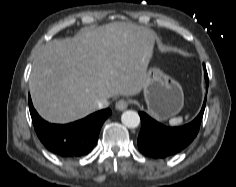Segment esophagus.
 I'll return each mask as SVG.
<instances>
[{
    "label": "esophagus",
    "instance_id": "1",
    "mask_svg": "<svg viewBox=\"0 0 236 187\" xmlns=\"http://www.w3.org/2000/svg\"><path fill=\"white\" fill-rule=\"evenodd\" d=\"M129 105V102L125 99H120L119 101L116 102L115 108L117 110L123 111L125 110Z\"/></svg>",
    "mask_w": 236,
    "mask_h": 187
}]
</instances>
